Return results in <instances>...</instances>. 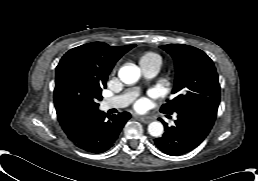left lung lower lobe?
Instances as JSON below:
<instances>
[{
	"mask_svg": "<svg viewBox=\"0 0 258 181\" xmlns=\"http://www.w3.org/2000/svg\"><path fill=\"white\" fill-rule=\"evenodd\" d=\"M177 114L175 126L168 127L163 122L164 135L154 139L156 147L171 156L185 154L205 139L214 124L217 109L200 107Z\"/></svg>",
	"mask_w": 258,
	"mask_h": 181,
	"instance_id": "left-lung-lower-lobe-1",
	"label": "left lung lower lobe"
}]
</instances>
